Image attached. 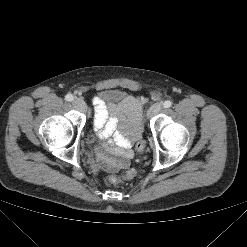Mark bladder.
Masks as SVG:
<instances>
[{"instance_id": "31cf9c89", "label": "bladder", "mask_w": 247, "mask_h": 247, "mask_svg": "<svg viewBox=\"0 0 247 247\" xmlns=\"http://www.w3.org/2000/svg\"><path fill=\"white\" fill-rule=\"evenodd\" d=\"M127 96L118 90L115 89H105L99 92L97 99L100 104L105 105L108 109L118 105L121 101H123ZM140 129L138 130V133ZM97 141L104 142L106 140L105 135H98L96 137Z\"/></svg>"}]
</instances>
